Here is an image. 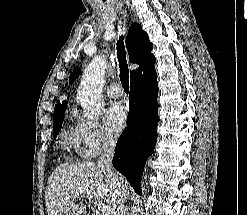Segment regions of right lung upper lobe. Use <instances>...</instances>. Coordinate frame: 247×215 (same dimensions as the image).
<instances>
[{"mask_svg": "<svg viewBox=\"0 0 247 215\" xmlns=\"http://www.w3.org/2000/svg\"><path fill=\"white\" fill-rule=\"evenodd\" d=\"M126 46L129 54V60L133 63L139 64L137 70H133L130 73V77L138 70L144 68L153 60L154 55L151 53L153 48L152 43L148 39V35L144 32L141 26L137 23L131 25L128 30ZM66 101L60 103L59 101L55 105L54 115L65 110Z\"/></svg>", "mask_w": 247, "mask_h": 215, "instance_id": "cb5924a9", "label": "right lung upper lobe"}]
</instances>
